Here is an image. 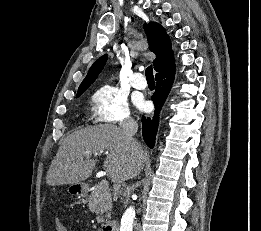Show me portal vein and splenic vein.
Returning a JSON list of instances; mask_svg holds the SVG:
<instances>
[{
	"label": "portal vein and splenic vein",
	"instance_id": "obj_1",
	"mask_svg": "<svg viewBox=\"0 0 261 231\" xmlns=\"http://www.w3.org/2000/svg\"><path fill=\"white\" fill-rule=\"evenodd\" d=\"M100 153H103V151H100ZM88 155H90V153H87ZM100 188L107 190L108 189V181L107 180H101V182L99 183Z\"/></svg>",
	"mask_w": 261,
	"mask_h": 231
}]
</instances>
